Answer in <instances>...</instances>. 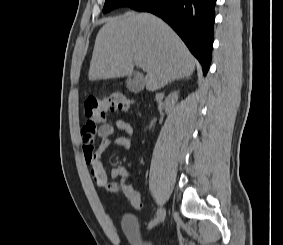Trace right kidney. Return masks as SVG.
<instances>
[{
    "instance_id": "obj_1",
    "label": "right kidney",
    "mask_w": 283,
    "mask_h": 245,
    "mask_svg": "<svg viewBox=\"0 0 283 245\" xmlns=\"http://www.w3.org/2000/svg\"><path fill=\"white\" fill-rule=\"evenodd\" d=\"M178 91H174L172 93H170L166 99H165V105H166V110L169 111L170 109H172L175 105V103L178 100Z\"/></svg>"
}]
</instances>
